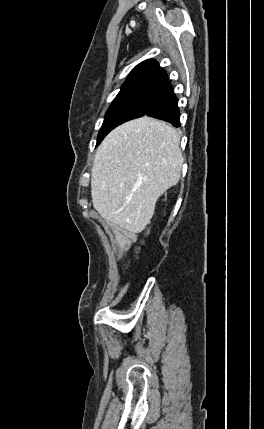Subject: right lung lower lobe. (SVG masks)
<instances>
[{
  "instance_id": "obj_1",
  "label": "right lung lower lobe",
  "mask_w": 264,
  "mask_h": 429,
  "mask_svg": "<svg viewBox=\"0 0 264 429\" xmlns=\"http://www.w3.org/2000/svg\"><path fill=\"white\" fill-rule=\"evenodd\" d=\"M145 115L170 122L175 127L180 126L178 100L169 83L162 89Z\"/></svg>"
}]
</instances>
